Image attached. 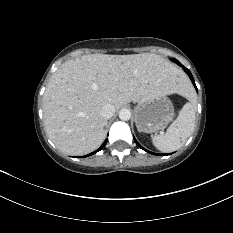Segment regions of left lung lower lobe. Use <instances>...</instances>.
Masks as SVG:
<instances>
[{
    "mask_svg": "<svg viewBox=\"0 0 233 233\" xmlns=\"http://www.w3.org/2000/svg\"><path fill=\"white\" fill-rule=\"evenodd\" d=\"M173 61H174L175 63H177L179 66H181V67L184 69V71L188 74V76L190 77V79H191L193 85L195 86V88H196V90H197V87H196V85H195L194 78H193L191 72H190L187 68H185V67H184L179 61H177L176 59H173ZM134 140H135V142L137 143V145H138L141 149L145 150L146 152L151 153V154H155V155H160V154H156V153L149 152L148 150L144 149V148L136 141L135 138H134Z\"/></svg>",
    "mask_w": 233,
    "mask_h": 233,
    "instance_id": "1",
    "label": "left lung lower lobe"
}]
</instances>
